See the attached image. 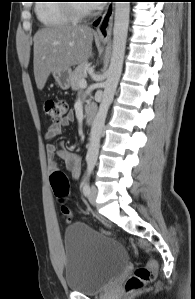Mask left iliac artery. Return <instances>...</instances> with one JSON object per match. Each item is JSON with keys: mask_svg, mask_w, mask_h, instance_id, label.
Returning <instances> with one entry per match:
<instances>
[{"mask_svg": "<svg viewBox=\"0 0 195 299\" xmlns=\"http://www.w3.org/2000/svg\"><path fill=\"white\" fill-rule=\"evenodd\" d=\"M94 167H95V161H89L87 165L86 176L83 182V192L85 195H88L90 192L89 179L94 170Z\"/></svg>", "mask_w": 195, "mask_h": 299, "instance_id": "obj_1", "label": "left iliac artery"}]
</instances>
